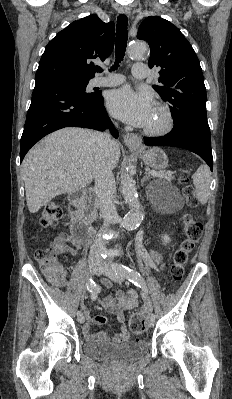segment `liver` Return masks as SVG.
<instances>
[{
  "label": "liver",
  "instance_id": "6515ba94",
  "mask_svg": "<svg viewBox=\"0 0 232 399\" xmlns=\"http://www.w3.org/2000/svg\"><path fill=\"white\" fill-rule=\"evenodd\" d=\"M94 134L92 130L64 128L49 134L28 152L22 162V176L31 213L55 196L78 192L91 184L104 154ZM108 150L106 164L114 170L120 158L119 144L114 142Z\"/></svg>",
  "mask_w": 232,
  "mask_h": 399
}]
</instances>
